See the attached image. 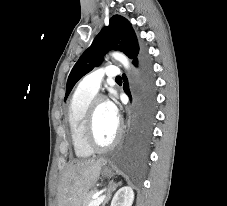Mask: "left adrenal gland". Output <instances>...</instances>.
I'll use <instances>...</instances> for the list:
<instances>
[{
	"label": "left adrenal gland",
	"instance_id": "obj_1",
	"mask_svg": "<svg viewBox=\"0 0 227 206\" xmlns=\"http://www.w3.org/2000/svg\"><path fill=\"white\" fill-rule=\"evenodd\" d=\"M121 184H122L121 181L118 182V183H115V182H113V181H110V182H109V184H108V189H107V192H106L107 197H106L105 201L103 202L102 206H105L106 203H108V201H109L110 198H111L112 192H113L118 186H120Z\"/></svg>",
	"mask_w": 227,
	"mask_h": 206
}]
</instances>
